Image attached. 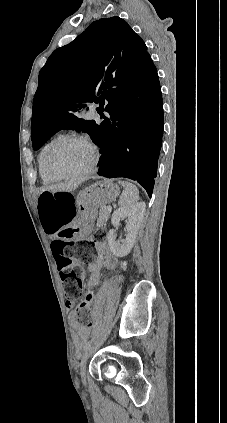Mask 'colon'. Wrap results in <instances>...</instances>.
<instances>
[{"label":"colon","mask_w":227,"mask_h":423,"mask_svg":"<svg viewBox=\"0 0 227 423\" xmlns=\"http://www.w3.org/2000/svg\"><path fill=\"white\" fill-rule=\"evenodd\" d=\"M38 210L43 227L47 233H59L52 243L53 256L56 260L68 301L81 297L85 281L82 264L95 260V251L90 241H71L74 233L71 222L75 215L73 197L62 191H45L39 197ZM96 238L102 239L104 231L98 230ZM75 261L77 263H75ZM92 295L88 294L75 311L76 320L83 325L90 324Z\"/></svg>","instance_id":"colon-1"}]
</instances>
